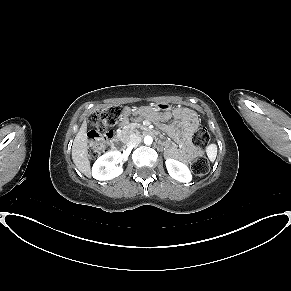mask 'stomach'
Masks as SVG:
<instances>
[{
	"instance_id": "obj_1",
	"label": "stomach",
	"mask_w": 291,
	"mask_h": 291,
	"mask_svg": "<svg viewBox=\"0 0 291 291\" xmlns=\"http://www.w3.org/2000/svg\"><path fill=\"white\" fill-rule=\"evenodd\" d=\"M154 106L157 111H160L161 113H168V114H171L173 109L176 108L172 104H169L166 102H158Z\"/></svg>"
}]
</instances>
